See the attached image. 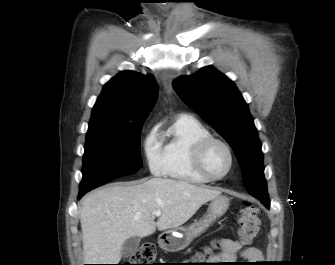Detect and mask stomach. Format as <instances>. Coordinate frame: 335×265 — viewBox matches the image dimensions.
I'll return each instance as SVG.
<instances>
[{"label": "stomach", "mask_w": 335, "mask_h": 265, "mask_svg": "<svg viewBox=\"0 0 335 265\" xmlns=\"http://www.w3.org/2000/svg\"><path fill=\"white\" fill-rule=\"evenodd\" d=\"M229 208V198L219 195L212 199L207 214L188 227L172 229L159 235L160 248L168 252H178L185 249L192 240L206 231V229L225 214Z\"/></svg>", "instance_id": "obj_1"}]
</instances>
